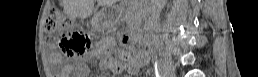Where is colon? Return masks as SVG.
I'll list each match as a JSON object with an SVG mask.
<instances>
[{"mask_svg":"<svg viewBox=\"0 0 258 77\" xmlns=\"http://www.w3.org/2000/svg\"><path fill=\"white\" fill-rule=\"evenodd\" d=\"M71 22L68 19L61 18L55 10H51L46 19V31L49 33H60L63 30L70 28ZM91 39L84 32L71 31L68 34L61 36L59 39L60 47L68 53H83L90 47ZM133 53L145 52L147 49L146 43L143 40H136L132 45Z\"/></svg>","mask_w":258,"mask_h":77,"instance_id":"colon-1","label":"colon"}]
</instances>
